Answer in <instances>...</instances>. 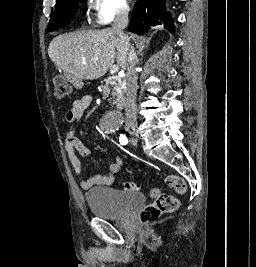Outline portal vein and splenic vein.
Wrapping results in <instances>:
<instances>
[{
	"label": "portal vein and splenic vein",
	"instance_id": "obj_1",
	"mask_svg": "<svg viewBox=\"0 0 256 267\" xmlns=\"http://www.w3.org/2000/svg\"><path fill=\"white\" fill-rule=\"evenodd\" d=\"M115 72H119V66H112V68H111V74H115Z\"/></svg>",
	"mask_w": 256,
	"mask_h": 267
}]
</instances>
